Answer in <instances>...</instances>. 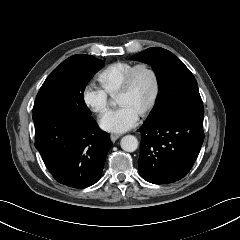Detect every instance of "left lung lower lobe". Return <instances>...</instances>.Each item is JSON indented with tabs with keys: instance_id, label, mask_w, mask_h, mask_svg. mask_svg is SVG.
I'll return each mask as SVG.
<instances>
[{
	"instance_id": "1",
	"label": "left lung lower lobe",
	"mask_w": 240,
	"mask_h": 240,
	"mask_svg": "<svg viewBox=\"0 0 240 240\" xmlns=\"http://www.w3.org/2000/svg\"><path fill=\"white\" fill-rule=\"evenodd\" d=\"M204 114L177 112L156 123H146L141 133L139 173L153 184L182 179L192 168L204 140Z\"/></svg>"
}]
</instances>
